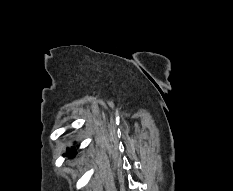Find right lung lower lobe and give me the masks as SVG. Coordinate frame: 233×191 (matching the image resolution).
Wrapping results in <instances>:
<instances>
[{
	"instance_id": "98d812e1",
	"label": "right lung lower lobe",
	"mask_w": 233,
	"mask_h": 191,
	"mask_svg": "<svg viewBox=\"0 0 233 191\" xmlns=\"http://www.w3.org/2000/svg\"><path fill=\"white\" fill-rule=\"evenodd\" d=\"M68 151H69V153L71 154V155H69V157L75 155V151H73V150H68Z\"/></svg>"
}]
</instances>
